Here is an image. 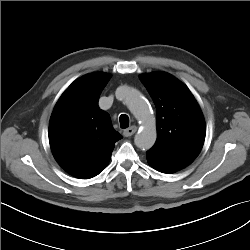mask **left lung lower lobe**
<instances>
[{
  "mask_svg": "<svg viewBox=\"0 0 250 250\" xmlns=\"http://www.w3.org/2000/svg\"><path fill=\"white\" fill-rule=\"evenodd\" d=\"M147 161L156 170L163 173H174L188 166L194 159L172 157L147 151Z\"/></svg>",
  "mask_w": 250,
  "mask_h": 250,
  "instance_id": "0a47b994",
  "label": "left lung lower lobe"
}]
</instances>
